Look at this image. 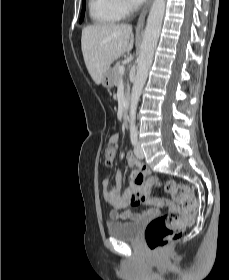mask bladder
<instances>
[{"label":"bladder","mask_w":229,"mask_h":280,"mask_svg":"<svg viewBox=\"0 0 229 280\" xmlns=\"http://www.w3.org/2000/svg\"><path fill=\"white\" fill-rule=\"evenodd\" d=\"M144 221L137 219L108 225L109 234L120 240H136L141 234Z\"/></svg>","instance_id":"31cf9c89"}]
</instances>
